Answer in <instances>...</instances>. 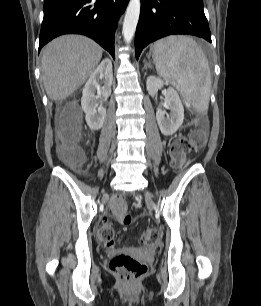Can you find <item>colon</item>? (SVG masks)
<instances>
[{
  "label": "colon",
  "instance_id": "1",
  "mask_svg": "<svg viewBox=\"0 0 261 306\" xmlns=\"http://www.w3.org/2000/svg\"><path fill=\"white\" fill-rule=\"evenodd\" d=\"M81 139V116L74 107L62 110L58 118L59 154L70 166L78 167L84 161V152L79 145ZM205 142L203 125L190 132L188 135L176 138L170 147V156L173 165L182 166L187 163L189 154L202 147ZM117 220L128 225L132 217L122 199H115L111 204ZM99 237L106 248L115 246V232L111 225L104 222L99 228ZM159 237L158 230L154 227L147 228L141 235L144 246L154 245ZM110 270L124 283H133L139 280L146 272V265L135 257L119 253L112 257L109 263Z\"/></svg>",
  "mask_w": 261,
  "mask_h": 306
}]
</instances>
